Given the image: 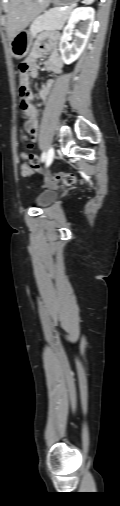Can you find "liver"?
I'll list each match as a JSON object with an SVG mask.
<instances>
[{
  "mask_svg": "<svg viewBox=\"0 0 120 506\" xmlns=\"http://www.w3.org/2000/svg\"><path fill=\"white\" fill-rule=\"evenodd\" d=\"M51 0H10L7 13V35L11 41L42 13Z\"/></svg>",
  "mask_w": 120,
  "mask_h": 506,
  "instance_id": "obj_1",
  "label": "liver"
}]
</instances>
